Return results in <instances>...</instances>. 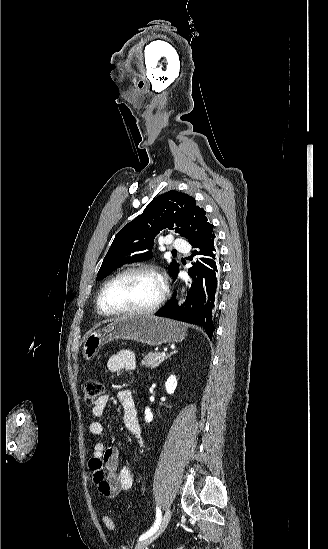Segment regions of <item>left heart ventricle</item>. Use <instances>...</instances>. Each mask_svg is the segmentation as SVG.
Segmentation results:
<instances>
[{
    "label": "left heart ventricle",
    "instance_id": "b2bd125f",
    "mask_svg": "<svg viewBox=\"0 0 328 549\" xmlns=\"http://www.w3.org/2000/svg\"><path fill=\"white\" fill-rule=\"evenodd\" d=\"M161 284L149 272L131 271L117 279L106 291L105 303L115 311L144 308L159 296Z\"/></svg>",
    "mask_w": 328,
    "mask_h": 549
}]
</instances>
